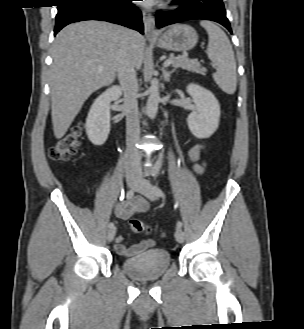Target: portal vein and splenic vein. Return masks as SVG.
Returning <instances> with one entry per match:
<instances>
[{"mask_svg":"<svg viewBox=\"0 0 304 329\" xmlns=\"http://www.w3.org/2000/svg\"><path fill=\"white\" fill-rule=\"evenodd\" d=\"M171 63H172V60H171V59H167V60L164 62V65H165V66H169ZM99 71H102V69H99Z\"/></svg>","mask_w":304,"mask_h":329,"instance_id":"obj_1","label":"portal vein and splenic vein"}]
</instances>
